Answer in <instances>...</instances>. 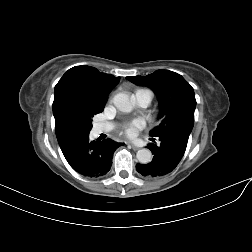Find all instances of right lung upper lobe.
<instances>
[{"mask_svg":"<svg viewBox=\"0 0 252 252\" xmlns=\"http://www.w3.org/2000/svg\"><path fill=\"white\" fill-rule=\"evenodd\" d=\"M118 82L119 77L101 73L90 66H75L65 72L55 86L52 105L60 147L79 135L73 125L72 109L75 106L104 108L108 94Z\"/></svg>","mask_w":252,"mask_h":252,"instance_id":"obj_1","label":"right lung upper lobe"}]
</instances>
